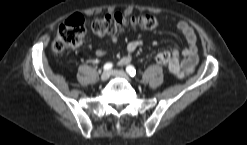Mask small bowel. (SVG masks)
Wrapping results in <instances>:
<instances>
[{
	"label": "small bowel",
	"mask_w": 247,
	"mask_h": 145,
	"mask_svg": "<svg viewBox=\"0 0 247 145\" xmlns=\"http://www.w3.org/2000/svg\"><path fill=\"white\" fill-rule=\"evenodd\" d=\"M177 28L184 36L187 42V46L181 52H179L177 49H172L170 52H166L169 55V62L167 63V66L169 71L173 74H179V73L189 74L194 70V68L198 63V53L196 46L197 36L194 30L192 29V27L185 21H179L177 23ZM110 40L112 43H117L118 36L112 35L110 37ZM142 44L143 41L141 39H134L130 41L126 47V55H124L119 60L118 65L126 66L127 64H129L132 60V56L134 52L140 46H142ZM105 54L106 52L103 49H98L96 51V55L98 57H103Z\"/></svg>",
	"instance_id": "c3829d8e"
}]
</instances>
